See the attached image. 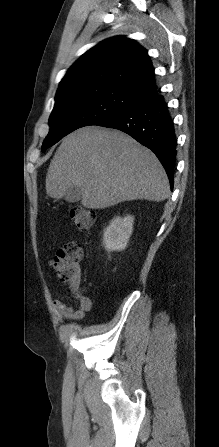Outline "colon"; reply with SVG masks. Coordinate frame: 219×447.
<instances>
[{
    "instance_id": "1",
    "label": "colon",
    "mask_w": 219,
    "mask_h": 447,
    "mask_svg": "<svg viewBox=\"0 0 219 447\" xmlns=\"http://www.w3.org/2000/svg\"><path fill=\"white\" fill-rule=\"evenodd\" d=\"M70 217L75 227L80 231H88L95 217L90 209L72 208ZM83 258V246L80 242L70 241L57 249L50 260V266L58 281L67 285L73 293L80 294L79 262Z\"/></svg>"
}]
</instances>
